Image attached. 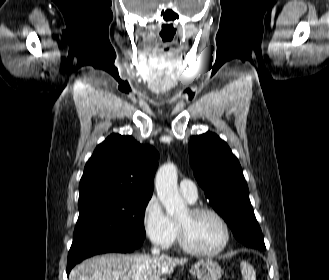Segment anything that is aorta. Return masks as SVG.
Listing matches in <instances>:
<instances>
[{
	"label": "aorta",
	"instance_id": "obj_1",
	"mask_svg": "<svg viewBox=\"0 0 329 280\" xmlns=\"http://www.w3.org/2000/svg\"><path fill=\"white\" fill-rule=\"evenodd\" d=\"M177 168L173 163L162 165L157 171L155 188L157 196L171 217H180L187 213V207L178 191Z\"/></svg>",
	"mask_w": 329,
	"mask_h": 280
}]
</instances>
